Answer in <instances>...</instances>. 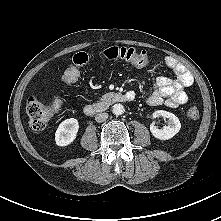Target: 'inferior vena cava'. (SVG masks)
I'll return each instance as SVG.
<instances>
[{"label": "inferior vena cava", "mask_w": 221, "mask_h": 221, "mask_svg": "<svg viewBox=\"0 0 221 221\" xmlns=\"http://www.w3.org/2000/svg\"><path fill=\"white\" fill-rule=\"evenodd\" d=\"M107 118H108V114L105 113V112H104V113H99V114H97V115L95 116V120H96V122H98V123H101V122L106 121Z\"/></svg>", "instance_id": "1"}]
</instances>
